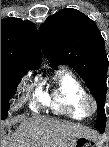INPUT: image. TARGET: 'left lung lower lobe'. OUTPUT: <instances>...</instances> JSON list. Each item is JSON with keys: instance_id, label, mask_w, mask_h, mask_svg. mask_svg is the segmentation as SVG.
I'll return each instance as SVG.
<instances>
[{"instance_id": "0a47b994", "label": "left lung lower lobe", "mask_w": 109, "mask_h": 147, "mask_svg": "<svg viewBox=\"0 0 109 147\" xmlns=\"http://www.w3.org/2000/svg\"><path fill=\"white\" fill-rule=\"evenodd\" d=\"M96 129L103 133L105 128H96Z\"/></svg>"}]
</instances>
